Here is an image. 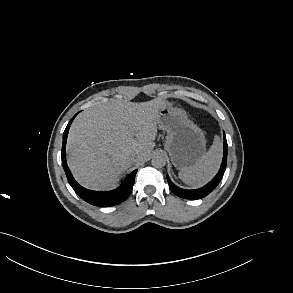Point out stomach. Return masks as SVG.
<instances>
[{"instance_id":"1","label":"stomach","mask_w":293,"mask_h":293,"mask_svg":"<svg viewBox=\"0 0 293 293\" xmlns=\"http://www.w3.org/2000/svg\"><path fill=\"white\" fill-rule=\"evenodd\" d=\"M157 123L160 129L167 132L164 146L177 169L185 170L204 156L205 135L189 120L183 109L166 103L158 114Z\"/></svg>"}]
</instances>
